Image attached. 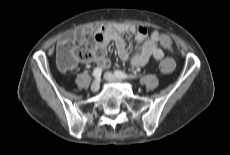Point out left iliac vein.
I'll list each match as a JSON object with an SVG mask.
<instances>
[{
    "label": "left iliac vein",
    "mask_w": 230,
    "mask_h": 155,
    "mask_svg": "<svg viewBox=\"0 0 230 155\" xmlns=\"http://www.w3.org/2000/svg\"><path fill=\"white\" fill-rule=\"evenodd\" d=\"M104 78H105V80H107V81H109V82H121V81H122L121 78L115 76V75H114L113 73H111V72H106V73L104 74Z\"/></svg>",
    "instance_id": "4c4485c4"
}]
</instances>
